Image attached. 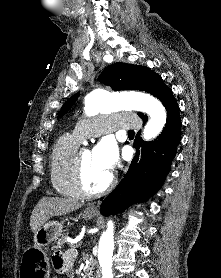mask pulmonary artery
Wrapping results in <instances>:
<instances>
[{
	"mask_svg": "<svg viewBox=\"0 0 221 278\" xmlns=\"http://www.w3.org/2000/svg\"><path fill=\"white\" fill-rule=\"evenodd\" d=\"M141 122L134 114L103 115L76 124L73 133L81 139L97 137L115 129L139 128Z\"/></svg>",
	"mask_w": 221,
	"mask_h": 278,
	"instance_id": "1",
	"label": "pulmonary artery"
}]
</instances>
